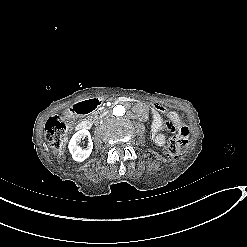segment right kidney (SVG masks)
<instances>
[{
    "label": "right kidney",
    "mask_w": 247,
    "mask_h": 247,
    "mask_svg": "<svg viewBox=\"0 0 247 247\" xmlns=\"http://www.w3.org/2000/svg\"><path fill=\"white\" fill-rule=\"evenodd\" d=\"M86 137L88 138L89 142L87 147L83 149L79 146V143L82 139ZM68 149L74 161L83 162L85 159H87L90 156L93 149V142L91 139L90 132L86 129H81L77 131L70 139Z\"/></svg>",
    "instance_id": "obj_1"
}]
</instances>
